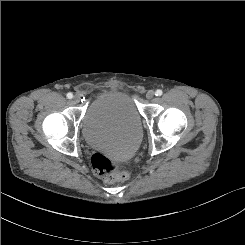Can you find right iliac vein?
I'll return each mask as SVG.
<instances>
[{
    "mask_svg": "<svg viewBox=\"0 0 245 245\" xmlns=\"http://www.w3.org/2000/svg\"><path fill=\"white\" fill-rule=\"evenodd\" d=\"M79 99H80V97L78 95L73 96V102L74 103H78Z\"/></svg>",
    "mask_w": 245,
    "mask_h": 245,
    "instance_id": "63e3f726",
    "label": "right iliac vein"
}]
</instances>
